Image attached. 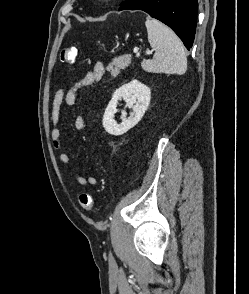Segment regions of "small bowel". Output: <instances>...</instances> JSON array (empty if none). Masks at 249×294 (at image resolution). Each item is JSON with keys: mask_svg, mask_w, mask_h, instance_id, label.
Returning a JSON list of instances; mask_svg holds the SVG:
<instances>
[{"mask_svg": "<svg viewBox=\"0 0 249 294\" xmlns=\"http://www.w3.org/2000/svg\"><path fill=\"white\" fill-rule=\"evenodd\" d=\"M105 67L101 62H96L93 67L84 75V77L74 83L69 90L60 88L56 91L51 110V141L56 149L61 148V130H60V114L63 103L68 107H73L77 102L78 91L86 86L93 85L103 78ZM74 127L78 131H83L86 128L85 119L81 115H77L74 119ZM60 162L68 167L76 182L81 186H94L97 179L93 176L81 175L71 164L70 157L65 152L59 154Z\"/></svg>", "mask_w": 249, "mask_h": 294, "instance_id": "small-bowel-1", "label": "small bowel"}]
</instances>
